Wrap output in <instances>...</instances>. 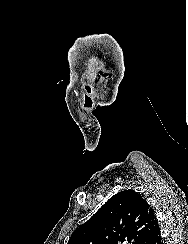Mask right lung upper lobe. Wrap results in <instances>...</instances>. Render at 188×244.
I'll use <instances>...</instances> for the list:
<instances>
[{
	"instance_id": "right-lung-upper-lobe-1",
	"label": "right lung upper lobe",
	"mask_w": 188,
	"mask_h": 244,
	"mask_svg": "<svg viewBox=\"0 0 188 244\" xmlns=\"http://www.w3.org/2000/svg\"><path fill=\"white\" fill-rule=\"evenodd\" d=\"M157 227L152 208L129 189L112 196L76 229L68 244H146Z\"/></svg>"
}]
</instances>
